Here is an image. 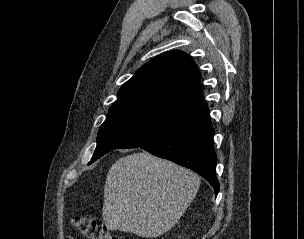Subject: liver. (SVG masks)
I'll return each instance as SVG.
<instances>
[{
    "label": "liver",
    "mask_w": 304,
    "mask_h": 239,
    "mask_svg": "<svg viewBox=\"0 0 304 239\" xmlns=\"http://www.w3.org/2000/svg\"><path fill=\"white\" fill-rule=\"evenodd\" d=\"M200 176L148 152L118 159L104 186L102 217L110 230L156 238L170 230L197 194Z\"/></svg>",
    "instance_id": "1"
}]
</instances>
